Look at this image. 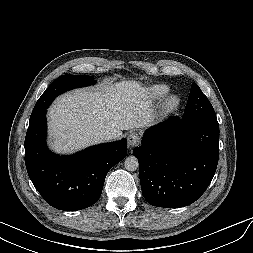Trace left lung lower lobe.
<instances>
[{
	"mask_svg": "<svg viewBox=\"0 0 253 253\" xmlns=\"http://www.w3.org/2000/svg\"><path fill=\"white\" fill-rule=\"evenodd\" d=\"M133 154L144 198L158 207H183L207 189L219 158L216 116L172 117L150 128Z\"/></svg>",
	"mask_w": 253,
	"mask_h": 253,
	"instance_id": "left-lung-lower-lobe-1",
	"label": "left lung lower lobe"
}]
</instances>
